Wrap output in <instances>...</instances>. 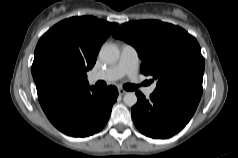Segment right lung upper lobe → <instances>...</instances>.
Wrapping results in <instances>:
<instances>
[{"mask_svg": "<svg viewBox=\"0 0 238 158\" xmlns=\"http://www.w3.org/2000/svg\"><path fill=\"white\" fill-rule=\"evenodd\" d=\"M118 26L92 16L72 17L54 25L40 38L35 49L32 75L36 84L43 81L34 70L38 58L45 51L56 50L72 65L73 85H87L86 72L94 66L103 42Z\"/></svg>", "mask_w": 238, "mask_h": 158, "instance_id": "cb5924a9", "label": "right lung upper lobe"}]
</instances>
